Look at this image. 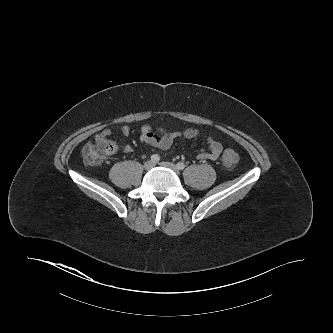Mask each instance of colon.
<instances>
[{"instance_id": "5ec220e1", "label": "colon", "mask_w": 333, "mask_h": 333, "mask_svg": "<svg viewBox=\"0 0 333 333\" xmlns=\"http://www.w3.org/2000/svg\"><path fill=\"white\" fill-rule=\"evenodd\" d=\"M108 145L102 141L86 144L82 149V158L89 165H96L107 155ZM222 161L227 167H234L239 162V155L232 149L224 151Z\"/></svg>"}]
</instances>
